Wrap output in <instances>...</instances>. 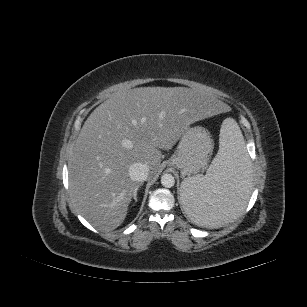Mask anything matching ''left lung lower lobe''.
<instances>
[{
    "instance_id": "left-lung-lower-lobe-1",
    "label": "left lung lower lobe",
    "mask_w": 307,
    "mask_h": 307,
    "mask_svg": "<svg viewBox=\"0 0 307 307\" xmlns=\"http://www.w3.org/2000/svg\"><path fill=\"white\" fill-rule=\"evenodd\" d=\"M235 208V204L232 203V201H226L223 203V205L220 207V209L212 211V213H217L220 215H226V214H231Z\"/></svg>"
}]
</instances>
